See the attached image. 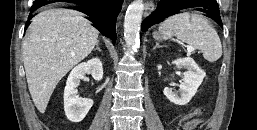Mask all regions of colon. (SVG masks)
Listing matches in <instances>:
<instances>
[{
    "label": "colon",
    "mask_w": 257,
    "mask_h": 130,
    "mask_svg": "<svg viewBox=\"0 0 257 130\" xmlns=\"http://www.w3.org/2000/svg\"><path fill=\"white\" fill-rule=\"evenodd\" d=\"M204 113V109L203 108H196L193 112L185 115L184 117H182L180 119V121L177 124V128L176 130H182V128L184 127L185 123H187L188 121L194 119V118H198L200 116H202Z\"/></svg>",
    "instance_id": "5ec220e1"
}]
</instances>
